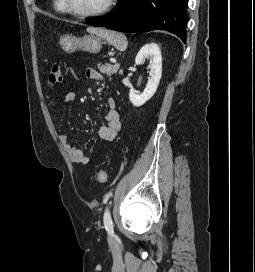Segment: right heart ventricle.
Instances as JSON below:
<instances>
[{"mask_svg": "<svg viewBox=\"0 0 255 272\" xmlns=\"http://www.w3.org/2000/svg\"><path fill=\"white\" fill-rule=\"evenodd\" d=\"M53 8L57 13L66 14V10L63 6L62 0H53Z\"/></svg>", "mask_w": 255, "mask_h": 272, "instance_id": "obj_1", "label": "right heart ventricle"}]
</instances>
